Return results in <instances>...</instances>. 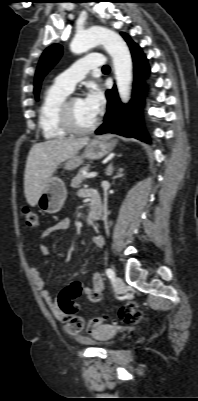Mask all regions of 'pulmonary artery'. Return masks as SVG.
<instances>
[{"label": "pulmonary artery", "instance_id": "e3ab8cb5", "mask_svg": "<svg viewBox=\"0 0 198 401\" xmlns=\"http://www.w3.org/2000/svg\"><path fill=\"white\" fill-rule=\"evenodd\" d=\"M106 60L100 55H91L77 61L55 79V84L72 92L77 82L85 78L86 74L94 68L105 66Z\"/></svg>", "mask_w": 198, "mask_h": 401}]
</instances>
